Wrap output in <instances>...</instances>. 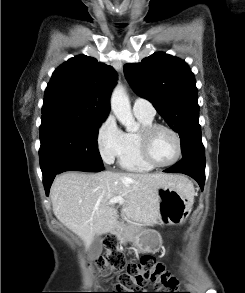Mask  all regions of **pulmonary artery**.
<instances>
[{"mask_svg": "<svg viewBox=\"0 0 245 293\" xmlns=\"http://www.w3.org/2000/svg\"><path fill=\"white\" fill-rule=\"evenodd\" d=\"M133 112L135 115L155 116V108L152 103L144 98L138 97L133 103Z\"/></svg>", "mask_w": 245, "mask_h": 293, "instance_id": "pulmonary-artery-1", "label": "pulmonary artery"}]
</instances>
